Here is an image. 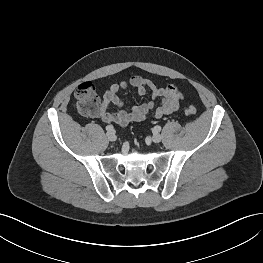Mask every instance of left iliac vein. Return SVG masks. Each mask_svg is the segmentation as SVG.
<instances>
[{
    "instance_id": "obj_1",
    "label": "left iliac vein",
    "mask_w": 263,
    "mask_h": 263,
    "mask_svg": "<svg viewBox=\"0 0 263 263\" xmlns=\"http://www.w3.org/2000/svg\"><path fill=\"white\" fill-rule=\"evenodd\" d=\"M152 140H153V142H155V143H159V142L162 140V137H161L160 134L155 133V134H153V136H152Z\"/></svg>"
}]
</instances>
